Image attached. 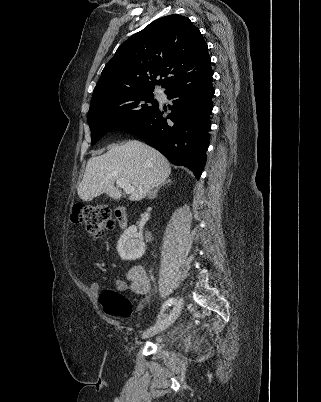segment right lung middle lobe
<instances>
[{
	"label": "right lung middle lobe",
	"mask_w": 321,
	"mask_h": 402,
	"mask_svg": "<svg viewBox=\"0 0 321 402\" xmlns=\"http://www.w3.org/2000/svg\"><path fill=\"white\" fill-rule=\"evenodd\" d=\"M153 99V90L129 93L90 106L88 124L91 130V145L105 133L135 123L158 108Z\"/></svg>",
	"instance_id": "right-lung-middle-lobe-1"
}]
</instances>
